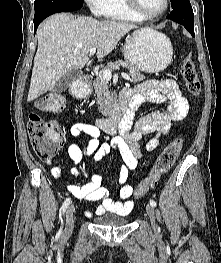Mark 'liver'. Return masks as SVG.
Here are the masks:
<instances>
[{
    "label": "liver",
    "instance_id": "liver-1",
    "mask_svg": "<svg viewBox=\"0 0 221 263\" xmlns=\"http://www.w3.org/2000/svg\"><path fill=\"white\" fill-rule=\"evenodd\" d=\"M135 28L136 25L126 22L86 16L74 19L67 14H55L49 17L37 31L38 48L27 100L33 101L51 91L66 73L84 67L91 48L96 47L98 60L103 59Z\"/></svg>",
    "mask_w": 221,
    "mask_h": 263
}]
</instances>
